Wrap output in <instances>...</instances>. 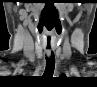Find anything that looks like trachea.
Masks as SVG:
<instances>
[{
    "mask_svg": "<svg viewBox=\"0 0 97 87\" xmlns=\"http://www.w3.org/2000/svg\"><path fill=\"white\" fill-rule=\"evenodd\" d=\"M55 69V56L52 52L50 57H46V68L43 77H52Z\"/></svg>",
    "mask_w": 97,
    "mask_h": 87,
    "instance_id": "3493384b",
    "label": "trachea"
}]
</instances>
